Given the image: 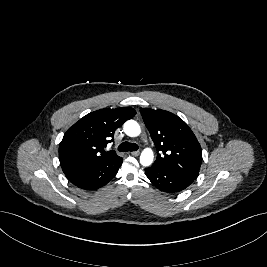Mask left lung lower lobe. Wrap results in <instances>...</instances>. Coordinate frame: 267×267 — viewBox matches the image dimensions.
<instances>
[{"label": "left lung lower lobe", "mask_w": 267, "mask_h": 267, "mask_svg": "<svg viewBox=\"0 0 267 267\" xmlns=\"http://www.w3.org/2000/svg\"><path fill=\"white\" fill-rule=\"evenodd\" d=\"M145 174L156 188L167 193L182 191L195 180L193 177L172 172L155 164L145 168Z\"/></svg>", "instance_id": "obj_1"}]
</instances>
